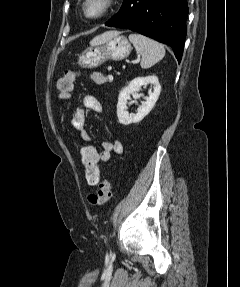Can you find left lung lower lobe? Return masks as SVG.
Returning a JSON list of instances; mask_svg holds the SVG:
<instances>
[{
	"mask_svg": "<svg viewBox=\"0 0 240 287\" xmlns=\"http://www.w3.org/2000/svg\"><path fill=\"white\" fill-rule=\"evenodd\" d=\"M187 0H124L105 25L126 28L172 47L180 62L186 37Z\"/></svg>",
	"mask_w": 240,
	"mask_h": 287,
	"instance_id": "0a47b994",
	"label": "left lung lower lobe"
}]
</instances>
